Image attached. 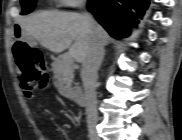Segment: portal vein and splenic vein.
<instances>
[{"instance_id": "18ae733b", "label": "portal vein and splenic vein", "mask_w": 182, "mask_h": 140, "mask_svg": "<svg viewBox=\"0 0 182 140\" xmlns=\"http://www.w3.org/2000/svg\"><path fill=\"white\" fill-rule=\"evenodd\" d=\"M73 58L72 56L68 53L66 56H65V61L66 62H72Z\"/></svg>"}]
</instances>
